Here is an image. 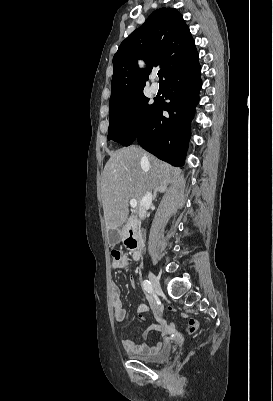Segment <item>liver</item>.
<instances>
[{
	"label": "liver",
	"mask_w": 273,
	"mask_h": 401,
	"mask_svg": "<svg viewBox=\"0 0 273 401\" xmlns=\"http://www.w3.org/2000/svg\"><path fill=\"white\" fill-rule=\"evenodd\" d=\"M172 174L169 164L135 144L112 152L101 178L106 231L118 229L128 219L130 198H136L140 205L147 190L164 192Z\"/></svg>",
	"instance_id": "6515ba94"
}]
</instances>
